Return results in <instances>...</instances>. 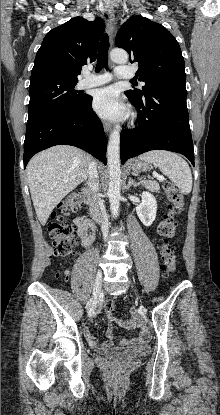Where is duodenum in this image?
Returning a JSON list of instances; mask_svg holds the SVG:
<instances>
[{
  "mask_svg": "<svg viewBox=\"0 0 220 415\" xmlns=\"http://www.w3.org/2000/svg\"><path fill=\"white\" fill-rule=\"evenodd\" d=\"M85 196L87 198V204L89 209L90 217L94 221H99L101 218V211L98 206L96 199L94 198V193L90 187L84 189Z\"/></svg>",
  "mask_w": 220,
  "mask_h": 415,
  "instance_id": "410a0bca",
  "label": "duodenum"
}]
</instances>
